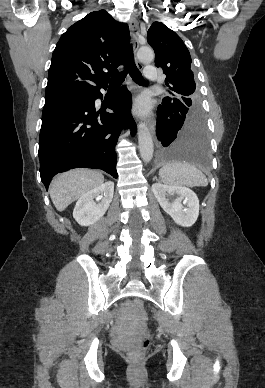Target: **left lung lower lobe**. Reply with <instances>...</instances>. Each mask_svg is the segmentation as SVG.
Returning <instances> with one entry per match:
<instances>
[{
	"mask_svg": "<svg viewBox=\"0 0 265 388\" xmlns=\"http://www.w3.org/2000/svg\"><path fill=\"white\" fill-rule=\"evenodd\" d=\"M156 135L159 159L183 161L197 166L209 163V141L203 113L176 99L163 98L157 109Z\"/></svg>",
	"mask_w": 265,
	"mask_h": 388,
	"instance_id": "obj_1",
	"label": "left lung lower lobe"
}]
</instances>
